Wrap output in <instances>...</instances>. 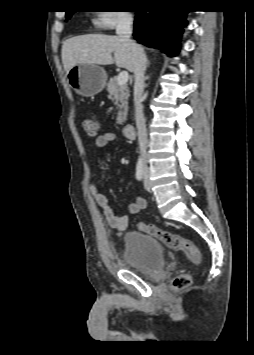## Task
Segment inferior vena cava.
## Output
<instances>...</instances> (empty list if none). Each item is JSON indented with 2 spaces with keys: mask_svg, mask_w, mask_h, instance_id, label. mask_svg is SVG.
Returning <instances> with one entry per match:
<instances>
[{
  "mask_svg": "<svg viewBox=\"0 0 254 355\" xmlns=\"http://www.w3.org/2000/svg\"><path fill=\"white\" fill-rule=\"evenodd\" d=\"M133 19L130 15L122 16L116 27V34L130 46L134 55V95H135V121L137 127V135L139 142L140 154L143 160V167L146 165V149H147V130L145 125V118L143 114V105L141 103L143 99L144 79L146 70V56L143 48L137 45L131 40Z\"/></svg>",
  "mask_w": 254,
  "mask_h": 355,
  "instance_id": "602c4592",
  "label": "inferior vena cava"
}]
</instances>
